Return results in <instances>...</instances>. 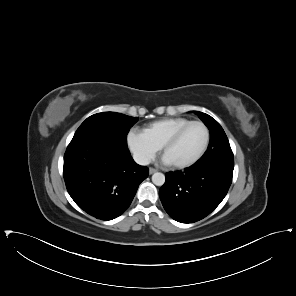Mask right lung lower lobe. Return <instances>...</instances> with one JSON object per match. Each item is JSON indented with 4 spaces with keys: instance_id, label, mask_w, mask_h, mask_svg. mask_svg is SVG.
<instances>
[{
    "instance_id": "1",
    "label": "right lung lower lobe",
    "mask_w": 296,
    "mask_h": 296,
    "mask_svg": "<svg viewBox=\"0 0 296 296\" xmlns=\"http://www.w3.org/2000/svg\"><path fill=\"white\" fill-rule=\"evenodd\" d=\"M149 169L132 159L127 146L101 139L71 141L63 176L74 202L101 220L120 216L131 204Z\"/></svg>"
}]
</instances>
